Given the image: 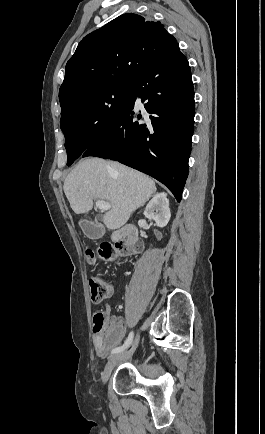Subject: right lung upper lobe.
Segmentation results:
<instances>
[{
  "label": "right lung upper lobe",
  "instance_id": "1",
  "mask_svg": "<svg viewBox=\"0 0 265 434\" xmlns=\"http://www.w3.org/2000/svg\"><path fill=\"white\" fill-rule=\"evenodd\" d=\"M176 44L161 22L123 14L82 39L66 64L59 96L109 77L136 79Z\"/></svg>",
  "mask_w": 265,
  "mask_h": 434
}]
</instances>
